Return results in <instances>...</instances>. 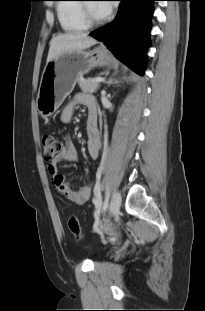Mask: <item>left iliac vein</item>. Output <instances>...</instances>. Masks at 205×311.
I'll use <instances>...</instances> for the list:
<instances>
[{
    "label": "left iliac vein",
    "mask_w": 205,
    "mask_h": 311,
    "mask_svg": "<svg viewBox=\"0 0 205 311\" xmlns=\"http://www.w3.org/2000/svg\"><path fill=\"white\" fill-rule=\"evenodd\" d=\"M121 193L119 191H115L113 193L112 199L109 204V215L115 216L119 213L120 205H121Z\"/></svg>",
    "instance_id": "1"
}]
</instances>
